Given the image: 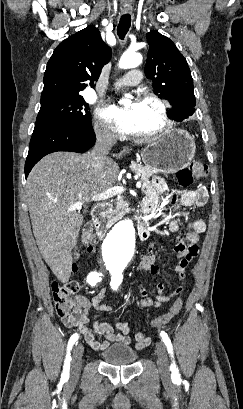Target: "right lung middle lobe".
I'll return each mask as SVG.
<instances>
[{"label": "right lung middle lobe", "instance_id": "right-lung-middle-lobe-1", "mask_svg": "<svg viewBox=\"0 0 243 409\" xmlns=\"http://www.w3.org/2000/svg\"><path fill=\"white\" fill-rule=\"evenodd\" d=\"M89 105L82 96L55 98L41 101V108L36 123H54L69 128L91 126Z\"/></svg>", "mask_w": 243, "mask_h": 409}]
</instances>
